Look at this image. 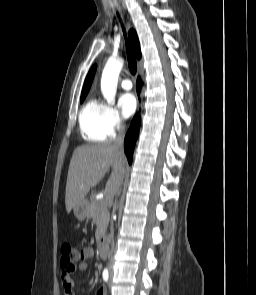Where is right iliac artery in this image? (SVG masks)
<instances>
[{"mask_svg":"<svg viewBox=\"0 0 256 295\" xmlns=\"http://www.w3.org/2000/svg\"><path fill=\"white\" fill-rule=\"evenodd\" d=\"M102 276H103V280H104L105 282H107V280H108V278H109V273H108L107 268L104 269Z\"/></svg>","mask_w":256,"mask_h":295,"instance_id":"right-iliac-artery-1","label":"right iliac artery"}]
</instances>
